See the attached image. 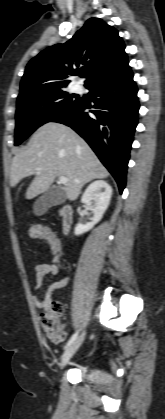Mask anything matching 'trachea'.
<instances>
[{
    "mask_svg": "<svg viewBox=\"0 0 165 419\" xmlns=\"http://www.w3.org/2000/svg\"><path fill=\"white\" fill-rule=\"evenodd\" d=\"M81 76L83 77L84 76V73H82Z\"/></svg>",
    "mask_w": 165,
    "mask_h": 419,
    "instance_id": "1",
    "label": "trachea"
}]
</instances>
